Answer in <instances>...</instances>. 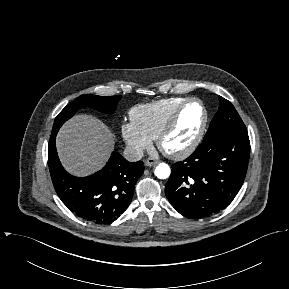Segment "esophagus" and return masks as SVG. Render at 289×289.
<instances>
[{
	"label": "esophagus",
	"instance_id": "34e87169",
	"mask_svg": "<svg viewBox=\"0 0 289 289\" xmlns=\"http://www.w3.org/2000/svg\"><path fill=\"white\" fill-rule=\"evenodd\" d=\"M144 162H145V165L148 166V167H151V166L156 165V164L159 163V161L154 159V158H147V159H145Z\"/></svg>",
	"mask_w": 289,
	"mask_h": 289
}]
</instances>
